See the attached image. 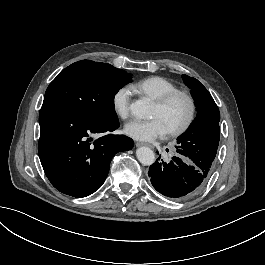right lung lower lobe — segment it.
Masks as SVG:
<instances>
[{
	"mask_svg": "<svg viewBox=\"0 0 265 265\" xmlns=\"http://www.w3.org/2000/svg\"><path fill=\"white\" fill-rule=\"evenodd\" d=\"M38 152L51 184L60 192L81 198L97 191L104 183L111 159L132 149L134 142L112 132L119 123L91 121L69 110L42 106L39 116Z\"/></svg>",
	"mask_w": 265,
	"mask_h": 265,
	"instance_id": "right-lung-lower-lobe-1",
	"label": "right lung lower lobe"
}]
</instances>
